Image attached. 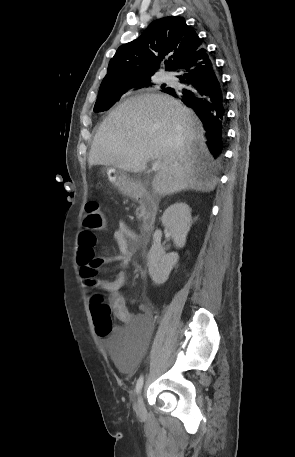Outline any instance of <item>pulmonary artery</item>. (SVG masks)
Segmentation results:
<instances>
[{
    "instance_id": "pulmonary-artery-1",
    "label": "pulmonary artery",
    "mask_w": 295,
    "mask_h": 457,
    "mask_svg": "<svg viewBox=\"0 0 295 457\" xmlns=\"http://www.w3.org/2000/svg\"><path fill=\"white\" fill-rule=\"evenodd\" d=\"M165 78H166V79H168V78H169V76H168V75H166V76H165Z\"/></svg>"
}]
</instances>
